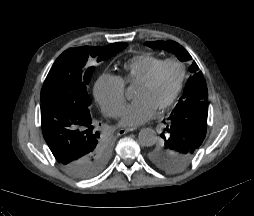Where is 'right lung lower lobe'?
<instances>
[{"label":"right lung lower lobe","instance_id":"98d812e1","mask_svg":"<svg viewBox=\"0 0 254 216\" xmlns=\"http://www.w3.org/2000/svg\"><path fill=\"white\" fill-rule=\"evenodd\" d=\"M41 122L52 154L70 175L86 179L99 172L101 142L93 131L89 109L63 97L49 98L41 102Z\"/></svg>","mask_w":254,"mask_h":216}]
</instances>
